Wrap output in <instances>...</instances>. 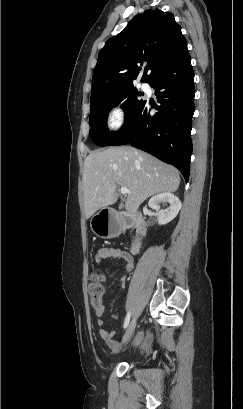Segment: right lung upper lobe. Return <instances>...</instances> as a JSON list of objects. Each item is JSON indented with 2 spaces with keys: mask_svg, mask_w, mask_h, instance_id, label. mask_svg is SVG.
<instances>
[{
  "mask_svg": "<svg viewBox=\"0 0 243 409\" xmlns=\"http://www.w3.org/2000/svg\"><path fill=\"white\" fill-rule=\"evenodd\" d=\"M185 46L187 41L172 14L149 9L136 15L101 49L93 73L91 102L133 86L137 79L149 83Z\"/></svg>",
  "mask_w": 243,
  "mask_h": 409,
  "instance_id": "right-lung-upper-lobe-1",
  "label": "right lung upper lobe"
}]
</instances>
